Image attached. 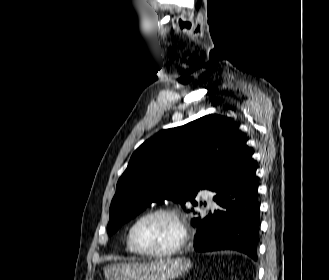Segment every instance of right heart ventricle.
<instances>
[{
  "mask_svg": "<svg viewBox=\"0 0 329 280\" xmlns=\"http://www.w3.org/2000/svg\"><path fill=\"white\" fill-rule=\"evenodd\" d=\"M126 250H127V252L130 253V254H134V253H135L134 250L132 249V247L130 246V243H129L128 237H127V239H126Z\"/></svg>",
  "mask_w": 329,
  "mask_h": 280,
  "instance_id": "e07e8e85",
  "label": "right heart ventricle"
}]
</instances>
